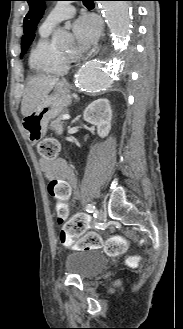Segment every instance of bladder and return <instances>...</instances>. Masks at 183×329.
Masks as SVG:
<instances>
[{"label":"bladder","instance_id":"bladder-1","mask_svg":"<svg viewBox=\"0 0 183 329\" xmlns=\"http://www.w3.org/2000/svg\"><path fill=\"white\" fill-rule=\"evenodd\" d=\"M108 260L97 250H80L67 254L65 269L81 279H88L103 271Z\"/></svg>","mask_w":183,"mask_h":329}]
</instances>
